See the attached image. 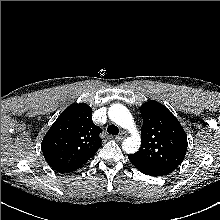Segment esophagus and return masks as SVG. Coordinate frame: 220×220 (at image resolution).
Wrapping results in <instances>:
<instances>
[{
	"mask_svg": "<svg viewBox=\"0 0 220 220\" xmlns=\"http://www.w3.org/2000/svg\"><path fill=\"white\" fill-rule=\"evenodd\" d=\"M125 137H126V134H125V133H122V134L116 136V137H115V140H116V141H122Z\"/></svg>",
	"mask_w": 220,
	"mask_h": 220,
	"instance_id": "1",
	"label": "esophagus"
}]
</instances>
